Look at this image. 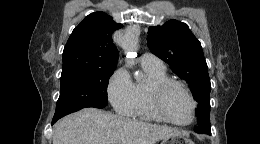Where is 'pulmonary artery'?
<instances>
[{
	"mask_svg": "<svg viewBox=\"0 0 260 144\" xmlns=\"http://www.w3.org/2000/svg\"><path fill=\"white\" fill-rule=\"evenodd\" d=\"M141 64L151 68L164 69L163 62L157 56L151 53H144L141 56Z\"/></svg>",
	"mask_w": 260,
	"mask_h": 144,
	"instance_id": "1",
	"label": "pulmonary artery"
}]
</instances>
